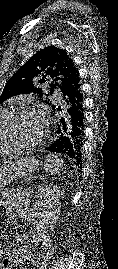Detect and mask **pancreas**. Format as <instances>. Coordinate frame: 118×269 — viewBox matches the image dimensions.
I'll return each instance as SVG.
<instances>
[{
  "mask_svg": "<svg viewBox=\"0 0 118 269\" xmlns=\"http://www.w3.org/2000/svg\"><path fill=\"white\" fill-rule=\"evenodd\" d=\"M35 178L34 177H26L25 180H21L20 184L21 185H26L27 182H34ZM15 191H18V188H15Z\"/></svg>",
  "mask_w": 118,
  "mask_h": 269,
  "instance_id": "1",
  "label": "pancreas"
}]
</instances>
